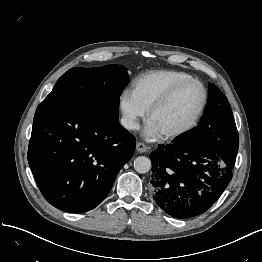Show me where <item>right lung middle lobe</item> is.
<instances>
[{"label": "right lung middle lobe", "instance_id": "right-lung-middle-lobe-1", "mask_svg": "<svg viewBox=\"0 0 262 262\" xmlns=\"http://www.w3.org/2000/svg\"><path fill=\"white\" fill-rule=\"evenodd\" d=\"M128 81L127 70L121 65L75 67L58 79L43 103L78 105L107 120L116 121L119 117L120 95Z\"/></svg>", "mask_w": 262, "mask_h": 262}]
</instances>
